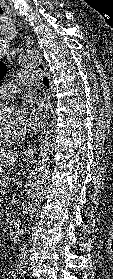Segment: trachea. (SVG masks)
<instances>
[{"mask_svg":"<svg viewBox=\"0 0 113 279\" xmlns=\"http://www.w3.org/2000/svg\"><path fill=\"white\" fill-rule=\"evenodd\" d=\"M43 84L47 87L49 86V82H48V79L46 77L43 78Z\"/></svg>","mask_w":113,"mask_h":279,"instance_id":"trachea-1","label":"trachea"}]
</instances>
